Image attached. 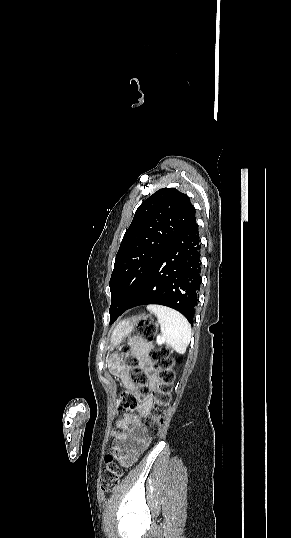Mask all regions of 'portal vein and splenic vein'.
I'll list each match as a JSON object with an SVG mask.
<instances>
[{"label":"portal vein and splenic vein","mask_w":291,"mask_h":538,"mask_svg":"<svg viewBox=\"0 0 291 538\" xmlns=\"http://www.w3.org/2000/svg\"><path fill=\"white\" fill-rule=\"evenodd\" d=\"M156 342H157V344H162L163 341H162V339L160 337H157Z\"/></svg>","instance_id":"1"}]
</instances>
